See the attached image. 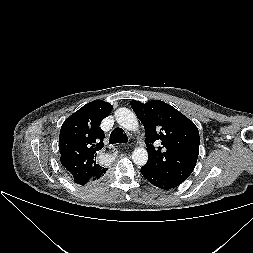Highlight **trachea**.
<instances>
[{"label": "trachea", "mask_w": 253, "mask_h": 253, "mask_svg": "<svg viewBox=\"0 0 253 253\" xmlns=\"http://www.w3.org/2000/svg\"><path fill=\"white\" fill-rule=\"evenodd\" d=\"M127 141H128V137L126 133H124L122 128L117 127L110 134V139H109L110 144L126 143Z\"/></svg>", "instance_id": "3493384b"}]
</instances>
